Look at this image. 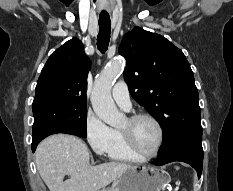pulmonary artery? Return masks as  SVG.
I'll list each match as a JSON object with an SVG mask.
<instances>
[{
  "label": "pulmonary artery",
  "mask_w": 233,
  "mask_h": 191,
  "mask_svg": "<svg viewBox=\"0 0 233 191\" xmlns=\"http://www.w3.org/2000/svg\"><path fill=\"white\" fill-rule=\"evenodd\" d=\"M112 97L119 107L124 110L130 109L131 103L128 86L124 81H119L115 84L112 90Z\"/></svg>",
  "instance_id": "1"
}]
</instances>
